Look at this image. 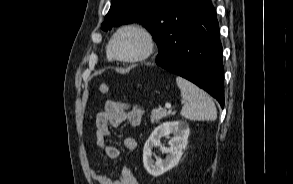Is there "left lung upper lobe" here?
<instances>
[{"mask_svg": "<svg viewBox=\"0 0 293 184\" xmlns=\"http://www.w3.org/2000/svg\"><path fill=\"white\" fill-rule=\"evenodd\" d=\"M181 0H112L109 12L101 25L102 30L125 23L141 22L163 50L172 10Z\"/></svg>", "mask_w": 293, "mask_h": 184, "instance_id": "1", "label": "left lung upper lobe"}]
</instances>
